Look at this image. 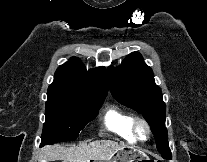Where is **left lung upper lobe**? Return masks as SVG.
I'll return each instance as SVG.
<instances>
[{
    "label": "left lung upper lobe",
    "mask_w": 207,
    "mask_h": 162,
    "mask_svg": "<svg viewBox=\"0 0 207 162\" xmlns=\"http://www.w3.org/2000/svg\"><path fill=\"white\" fill-rule=\"evenodd\" d=\"M108 76L113 97L142 114L151 127L158 151L162 156L171 154L162 92L155 84L153 72L142 56L137 52L129 54L120 67L108 68Z\"/></svg>",
    "instance_id": "obj_1"
}]
</instances>
